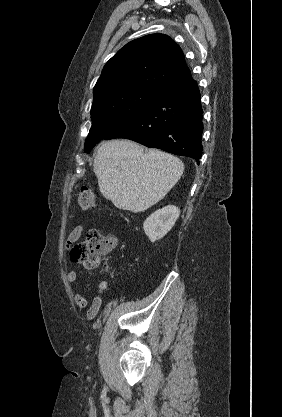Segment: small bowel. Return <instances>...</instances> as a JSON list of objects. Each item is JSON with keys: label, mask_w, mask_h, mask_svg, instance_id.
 <instances>
[{"label": "small bowel", "mask_w": 282, "mask_h": 417, "mask_svg": "<svg viewBox=\"0 0 282 417\" xmlns=\"http://www.w3.org/2000/svg\"><path fill=\"white\" fill-rule=\"evenodd\" d=\"M86 228V224L77 225L68 235L66 239V247L69 248L74 242L79 240ZM104 238L106 240L108 249H113L116 247L117 238L114 235L106 234ZM66 277L69 282L73 283L77 280L78 273L75 269H71L67 272ZM108 288L109 282L105 279L101 280L97 286V294L95 295L89 306L87 299L83 295H81L80 293H76L74 295V302L79 308H86L88 306L86 313L88 320H93L99 313V310L102 305V295L105 291L108 290Z\"/></svg>", "instance_id": "1"}]
</instances>
